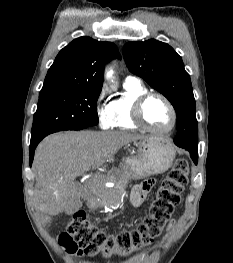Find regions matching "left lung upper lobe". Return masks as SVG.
I'll use <instances>...</instances> for the list:
<instances>
[{
  "instance_id": "1",
  "label": "left lung upper lobe",
  "mask_w": 233,
  "mask_h": 263,
  "mask_svg": "<svg viewBox=\"0 0 233 263\" xmlns=\"http://www.w3.org/2000/svg\"><path fill=\"white\" fill-rule=\"evenodd\" d=\"M123 57L133 74L142 77L173 105L177 114L174 142L197 146L195 99L181 57L171 46L154 39L126 43Z\"/></svg>"
}]
</instances>
